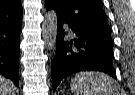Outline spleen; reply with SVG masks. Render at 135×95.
Instances as JSON below:
<instances>
[{
  "label": "spleen",
  "mask_w": 135,
  "mask_h": 95,
  "mask_svg": "<svg viewBox=\"0 0 135 95\" xmlns=\"http://www.w3.org/2000/svg\"><path fill=\"white\" fill-rule=\"evenodd\" d=\"M73 95H117L112 79L100 72H82L71 79Z\"/></svg>",
  "instance_id": "obj_1"
}]
</instances>
